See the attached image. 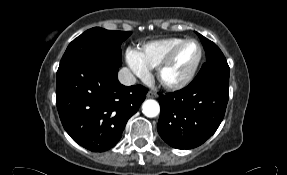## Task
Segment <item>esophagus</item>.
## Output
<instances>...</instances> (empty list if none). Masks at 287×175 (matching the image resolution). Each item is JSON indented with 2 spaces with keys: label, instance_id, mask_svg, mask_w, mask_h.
Segmentation results:
<instances>
[{
  "label": "esophagus",
  "instance_id": "obj_1",
  "mask_svg": "<svg viewBox=\"0 0 287 175\" xmlns=\"http://www.w3.org/2000/svg\"><path fill=\"white\" fill-rule=\"evenodd\" d=\"M147 97H148V98H157V97H158V94H157L156 92H154V91H149V92L147 93Z\"/></svg>",
  "mask_w": 287,
  "mask_h": 175
}]
</instances>
